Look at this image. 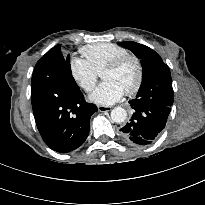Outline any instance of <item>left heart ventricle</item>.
I'll use <instances>...</instances> for the list:
<instances>
[{
  "label": "left heart ventricle",
  "mask_w": 205,
  "mask_h": 205,
  "mask_svg": "<svg viewBox=\"0 0 205 205\" xmlns=\"http://www.w3.org/2000/svg\"><path fill=\"white\" fill-rule=\"evenodd\" d=\"M101 77L104 81H114L127 90L135 81L136 67L134 63L128 62L117 70L103 71Z\"/></svg>",
  "instance_id": "obj_1"
}]
</instances>
